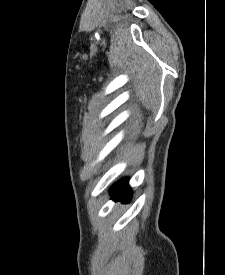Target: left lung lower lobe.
<instances>
[{
  "instance_id": "obj_1",
  "label": "left lung lower lobe",
  "mask_w": 225,
  "mask_h": 275,
  "mask_svg": "<svg viewBox=\"0 0 225 275\" xmlns=\"http://www.w3.org/2000/svg\"><path fill=\"white\" fill-rule=\"evenodd\" d=\"M131 189L126 180L115 184L110 192L111 197L118 201L128 202L130 200Z\"/></svg>"
}]
</instances>
